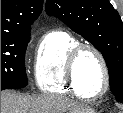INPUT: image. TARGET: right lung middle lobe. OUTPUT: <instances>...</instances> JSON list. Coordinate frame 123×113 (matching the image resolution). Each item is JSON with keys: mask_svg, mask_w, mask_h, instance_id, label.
<instances>
[{"mask_svg": "<svg viewBox=\"0 0 123 113\" xmlns=\"http://www.w3.org/2000/svg\"><path fill=\"white\" fill-rule=\"evenodd\" d=\"M29 36L1 38V90L27 86L25 51Z\"/></svg>", "mask_w": 123, "mask_h": 113, "instance_id": "1", "label": "right lung middle lobe"}]
</instances>
